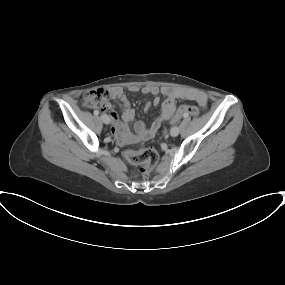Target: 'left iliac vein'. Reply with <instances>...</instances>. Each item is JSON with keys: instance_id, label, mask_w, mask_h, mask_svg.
<instances>
[{"instance_id": "left-iliac-vein-1", "label": "left iliac vein", "mask_w": 285, "mask_h": 285, "mask_svg": "<svg viewBox=\"0 0 285 285\" xmlns=\"http://www.w3.org/2000/svg\"><path fill=\"white\" fill-rule=\"evenodd\" d=\"M179 134V127L174 126L170 130V135L176 137Z\"/></svg>"}]
</instances>
